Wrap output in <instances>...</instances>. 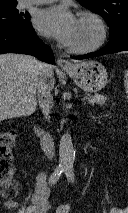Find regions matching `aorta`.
Listing matches in <instances>:
<instances>
[{"instance_id": "obj_1", "label": "aorta", "mask_w": 128, "mask_h": 213, "mask_svg": "<svg viewBox=\"0 0 128 213\" xmlns=\"http://www.w3.org/2000/svg\"><path fill=\"white\" fill-rule=\"evenodd\" d=\"M59 161L62 168H71L75 160L71 135L67 132L62 135L59 144Z\"/></svg>"}]
</instances>
